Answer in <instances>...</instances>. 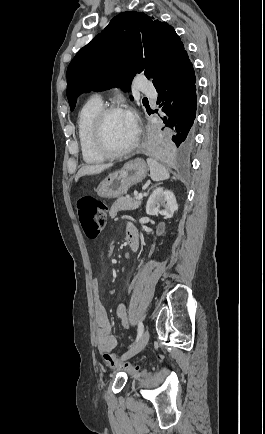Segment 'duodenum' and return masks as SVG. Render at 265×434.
Returning a JSON list of instances; mask_svg holds the SVG:
<instances>
[{
    "instance_id": "obj_1",
    "label": "duodenum",
    "mask_w": 265,
    "mask_h": 434,
    "mask_svg": "<svg viewBox=\"0 0 265 434\" xmlns=\"http://www.w3.org/2000/svg\"><path fill=\"white\" fill-rule=\"evenodd\" d=\"M129 246L132 252H136L139 247L136 241H131Z\"/></svg>"
}]
</instances>
